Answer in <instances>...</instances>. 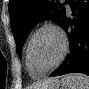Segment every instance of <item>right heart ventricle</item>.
Listing matches in <instances>:
<instances>
[{
	"mask_svg": "<svg viewBox=\"0 0 89 89\" xmlns=\"http://www.w3.org/2000/svg\"><path fill=\"white\" fill-rule=\"evenodd\" d=\"M26 68H27V71H28V73H29V75H30L31 77L37 78V77L40 76V75L34 73L32 70H30V68H29L28 65H27V61H26Z\"/></svg>",
	"mask_w": 89,
	"mask_h": 89,
	"instance_id": "obj_1",
	"label": "right heart ventricle"
}]
</instances>
